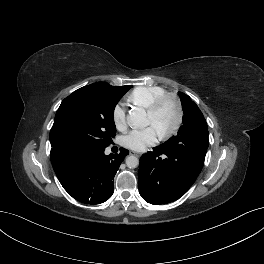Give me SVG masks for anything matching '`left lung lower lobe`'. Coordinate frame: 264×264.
<instances>
[{"label": "left lung lower lobe", "instance_id": "1", "mask_svg": "<svg viewBox=\"0 0 264 264\" xmlns=\"http://www.w3.org/2000/svg\"><path fill=\"white\" fill-rule=\"evenodd\" d=\"M208 133L179 146L159 145L140 158L139 192L151 204L179 199L195 182L204 164Z\"/></svg>", "mask_w": 264, "mask_h": 264}]
</instances>
